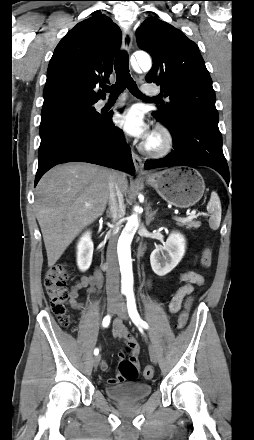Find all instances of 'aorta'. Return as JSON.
Listing matches in <instances>:
<instances>
[{
  "label": "aorta",
  "instance_id": "obj_1",
  "mask_svg": "<svg viewBox=\"0 0 254 440\" xmlns=\"http://www.w3.org/2000/svg\"><path fill=\"white\" fill-rule=\"evenodd\" d=\"M136 61L143 71H149L151 69L152 61L148 54H137ZM138 226L139 218L137 214H133L128 219V222L126 223V226L124 227L118 240L117 253L123 290H132L133 288V272L130 246Z\"/></svg>",
  "mask_w": 254,
  "mask_h": 440
}]
</instances>
